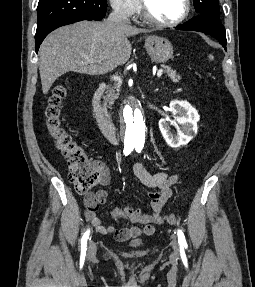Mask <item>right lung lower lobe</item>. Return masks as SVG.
<instances>
[{
  "label": "right lung lower lobe",
  "mask_w": 255,
  "mask_h": 287,
  "mask_svg": "<svg viewBox=\"0 0 255 287\" xmlns=\"http://www.w3.org/2000/svg\"><path fill=\"white\" fill-rule=\"evenodd\" d=\"M89 20L80 16H68L62 17L59 19H55L46 23L39 24L37 26L36 35H35V50L38 52L40 44L44 40V38L54 29L61 27L63 25L71 24L74 22Z\"/></svg>",
  "instance_id": "right-lung-lower-lobe-1"
}]
</instances>
